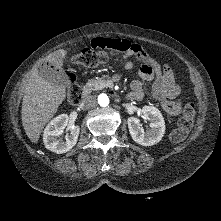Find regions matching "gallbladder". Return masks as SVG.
I'll return each instance as SVG.
<instances>
[{"label": "gallbladder", "mask_w": 221, "mask_h": 221, "mask_svg": "<svg viewBox=\"0 0 221 221\" xmlns=\"http://www.w3.org/2000/svg\"><path fill=\"white\" fill-rule=\"evenodd\" d=\"M39 75L49 82L56 83L64 87H68L70 84L69 78L63 69L41 66Z\"/></svg>", "instance_id": "1"}]
</instances>
